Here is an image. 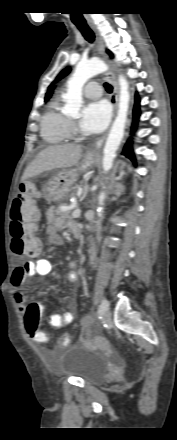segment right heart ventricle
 <instances>
[{"mask_svg": "<svg viewBox=\"0 0 177 440\" xmlns=\"http://www.w3.org/2000/svg\"><path fill=\"white\" fill-rule=\"evenodd\" d=\"M40 133L42 139L48 144H61L70 137L69 120L61 111L57 98L48 104L42 115Z\"/></svg>", "mask_w": 177, "mask_h": 440, "instance_id": "obj_1", "label": "right heart ventricle"}]
</instances>
